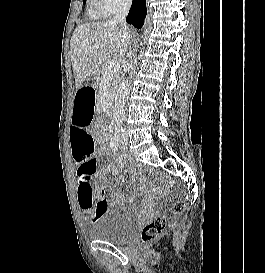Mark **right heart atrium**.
Masks as SVG:
<instances>
[{
    "label": "right heart atrium",
    "instance_id": "1",
    "mask_svg": "<svg viewBox=\"0 0 265 273\" xmlns=\"http://www.w3.org/2000/svg\"><path fill=\"white\" fill-rule=\"evenodd\" d=\"M91 2L97 10L106 16L128 9L131 5V0H91Z\"/></svg>",
    "mask_w": 265,
    "mask_h": 273
}]
</instances>
